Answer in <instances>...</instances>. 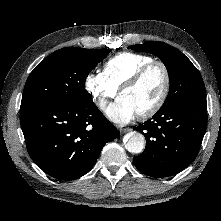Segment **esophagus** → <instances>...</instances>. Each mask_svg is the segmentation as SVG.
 Instances as JSON below:
<instances>
[{"label":"esophagus","mask_w":221,"mask_h":221,"mask_svg":"<svg viewBox=\"0 0 221 221\" xmlns=\"http://www.w3.org/2000/svg\"><path fill=\"white\" fill-rule=\"evenodd\" d=\"M129 131H131L130 128H121V129H120V133H121V134L127 133V132H129Z\"/></svg>","instance_id":"obj_1"}]
</instances>
